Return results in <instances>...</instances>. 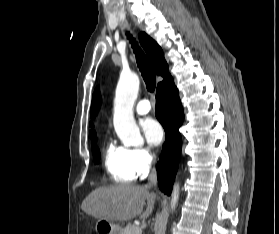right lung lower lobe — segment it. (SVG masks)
Instances as JSON below:
<instances>
[{
    "label": "right lung lower lobe",
    "instance_id": "right-lung-lower-lobe-1",
    "mask_svg": "<svg viewBox=\"0 0 279 234\" xmlns=\"http://www.w3.org/2000/svg\"><path fill=\"white\" fill-rule=\"evenodd\" d=\"M156 92L155 114L166 133V140L157 164L158 186L161 191L170 195L180 159L182 139L179 127L183 122L184 114L178 89L172 77L160 83Z\"/></svg>",
    "mask_w": 279,
    "mask_h": 234
}]
</instances>
